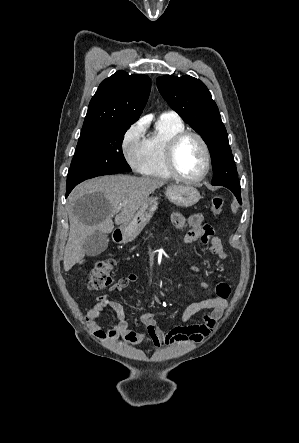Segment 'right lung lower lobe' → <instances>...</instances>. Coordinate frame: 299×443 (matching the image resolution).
I'll list each match as a JSON object with an SVG mask.
<instances>
[{"label": "right lung lower lobe", "instance_id": "obj_1", "mask_svg": "<svg viewBox=\"0 0 299 443\" xmlns=\"http://www.w3.org/2000/svg\"><path fill=\"white\" fill-rule=\"evenodd\" d=\"M74 187H75L74 185H72V186H67V187H66V197L69 195V193L71 192V190H72Z\"/></svg>", "mask_w": 299, "mask_h": 443}]
</instances>
